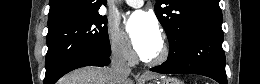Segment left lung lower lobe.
Here are the masks:
<instances>
[{
	"instance_id": "obj_1",
	"label": "left lung lower lobe",
	"mask_w": 260,
	"mask_h": 84,
	"mask_svg": "<svg viewBox=\"0 0 260 84\" xmlns=\"http://www.w3.org/2000/svg\"><path fill=\"white\" fill-rule=\"evenodd\" d=\"M221 25L195 27L169 54L167 61L151 69L162 74L194 73L227 84Z\"/></svg>"
}]
</instances>
